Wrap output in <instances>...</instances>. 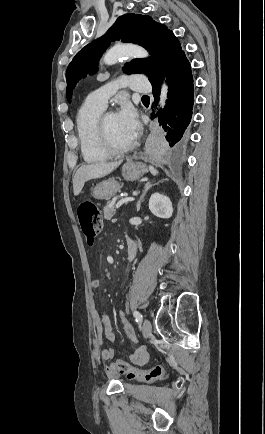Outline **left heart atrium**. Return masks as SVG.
Listing matches in <instances>:
<instances>
[{
  "label": "left heart atrium",
  "instance_id": "39dd6f15",
  "mask_svg": "<svg viewBox=\"0 0 265 434\" xmlns=\"http://www.w3.org/2000/svg\"><path fill=\"white\" fill-rule=\"evenodd\" d=\"M122 101L124 102L121 104L118 113L119 122L126 135L132 141H135L139 133L138 114L136 109L126 99Z\"/></svg>",
  "mask_w": 265,
  "mask_h": 434
}]
</instances>
